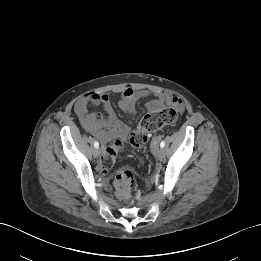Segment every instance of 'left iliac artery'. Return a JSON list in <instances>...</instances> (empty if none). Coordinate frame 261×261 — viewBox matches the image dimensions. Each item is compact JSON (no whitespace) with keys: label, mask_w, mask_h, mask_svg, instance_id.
I'll list each match as a JSON object with an SVG mask.
<instances>
[{"label":"left iliac artery","mask_w":261,"mask_h":261,"mask_svg":"<svg viewBox=\"0 0 261 261\" xmlns=\"http://www.w3.org/2000/svg\"><path fill=\"white\" fill-rule=\"evenodd\" d=\"M164 146H165V142H164V141H161L160 147L163 148Z\"/></svg>","instance_id":"left-iliac-artery-1"}]
</instances>
